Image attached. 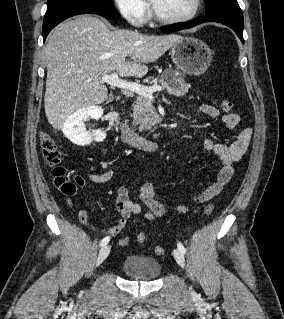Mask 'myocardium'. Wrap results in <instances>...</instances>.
I'll use <instances>...</instances> for the list:
<instances>
[{
    "label": "myocardium",
    "mask_w": 284,
    "mask_h": 319,
    "mask_svg": "<svg viewBox=\"0 0 284 319\" xmlns=\"http://www.w3.org/2000/svg\"><path fill=\"white\" fill-rule=\"evenodd\" d=\"M201 6H202V0H194L193 8L189 14L182 17H167V16L161 15L151 4V17L155 21L159 23H163V24L186 23L193 20L198 15V13L200 12Z\"/></svg>",
    "instance_id": "1"
}]
</instances>
